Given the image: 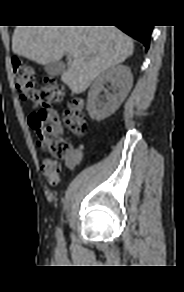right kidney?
<instances>
[{
    "label": "right kidney",
    "instance_id": "ca27d5eb",
    "mask_svg": "<svg viewBox=\"0 0 184 292\" xmlns=\"http://www.w3.org/2000/svg\"><path fill=\"white\" fill-rule=\"evenodd\" d=\"M132 82L131 70L126 65H116L103 71L88 92L87 110L90 117L101 121L113 114L127 97ZM107 83L111 84V92L107 91L105 98L100 102L98 96L105 90L104 85Z\"/></svg>",
    "mask_w": 184,
    "mask_h": 292
}]
</instances>
